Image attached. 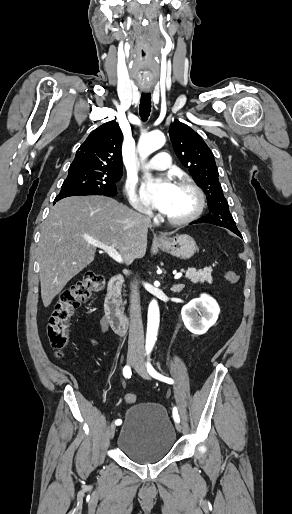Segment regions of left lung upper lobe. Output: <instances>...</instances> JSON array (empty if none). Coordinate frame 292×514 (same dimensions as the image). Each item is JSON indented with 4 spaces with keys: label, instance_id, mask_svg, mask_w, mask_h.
Here are the masks:
<instances>
[{
    "label": "left lung upper lobe",
    "instance_id": "1",
    "mask_svg": "<svg viewBox=\"0 0 292 514\" xmlns=\"http://www.w3.org/2000/svg\"><path fill=\"white\" fill-rule=\"evenodd\" d=\"M169 135L177 157L207 195L210 213L201 220L238 232L223 195L218 169L210 148L198 133L181 122L171 124Z\"/></svg>",
    "mask_w": 292,
    "mask_h": 514
}]
</instances>
